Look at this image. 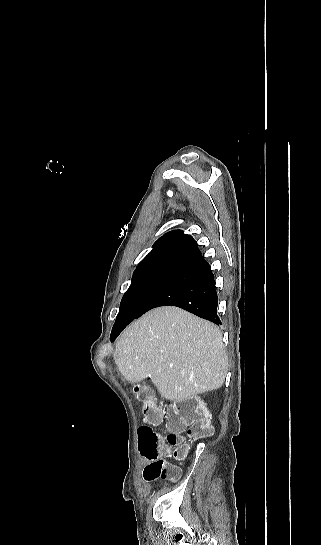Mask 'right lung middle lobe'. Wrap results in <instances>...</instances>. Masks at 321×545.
I'll return each instance as SVG.
<instances>
[{"label": "right lung middle lobe", "instance_id": "obj_1", "mask_svg": "<svg viewBox=\"0 0 321 545\" xmlns=\"http://www.w3.org/2000/svg\"><path fill=\"white\" fill-rule=\"evenodd\" d=\"M174 270L159 266L135 270L115 322H124L134 317Z\"/></svg>", "mask_w": 321, "mask_h": 545}]
</instances>
